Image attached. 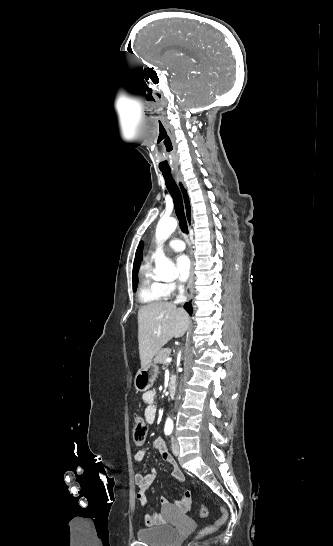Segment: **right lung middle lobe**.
<instances>
[{"instance_id": "right-lung-middle-lobe-1", "label": "right lung middle lobe", "mask_w": 333, "mask_h": 546, "mask_svg": "<svg viewBox=\"0 0 333 546\" xmlns=\"http://www.w3.org/2000/svg\"><path fill=\"white\" fill-rule=\"evenodd\" d=\"M138 271V264L134 263L133 266V279L135 280V283L133 284V291H136L137 288V279H136V272Z\"/></svg>"}]
</instances>
